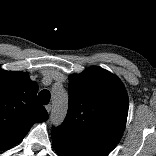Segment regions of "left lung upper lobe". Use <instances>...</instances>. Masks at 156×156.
<instances>
[{
  "mask_svg": "<svg viewBox=\"0 0 156 156\" xmlns=\"http://www.w3.org/2000/svg\"><path fill=\"white\" fill-rule=\"evenodd\" d=\"M69 108L51 134L70 144L107 156L120 141L128 115V96L120 79L91 67L69 77Z\"/></svg>",
  "mask_w": 156,
  "mask_h": 156,
  "instance_id": "obj_1",
  "label": "left lung upper lobe"
}]
</instances>
